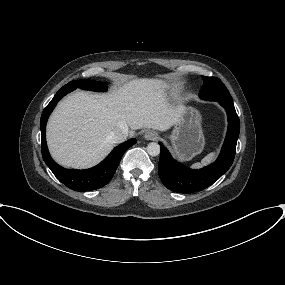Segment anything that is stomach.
I'll list each match as a JSON object with an SVG mask.
<instances>
[{"label": "stomach", "mask_w": 285, "mask_h": 285, "mask_svg": "<svg viewBox=\"0 0 285 285\" xmlns=\"http://www.w3.org/2000/svg\"><path fill=\"white\" fill-rule=\"evenodd\" d=\"M201 114L191 106H183L174 125L170 140L176 157L191 160L200 154L205 145L201 127Z\"/></svg>", "instance_id": "1"}]
</instances>
